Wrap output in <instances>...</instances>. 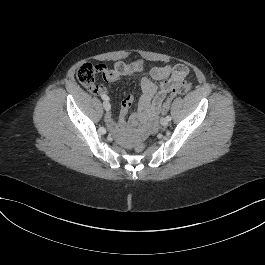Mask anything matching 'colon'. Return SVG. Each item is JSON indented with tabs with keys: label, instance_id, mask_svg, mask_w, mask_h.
Listing matches in <instances>:
<instances>
[{
	"label": "colon",
	"instance_id": "5ec220e1",
	"mask_svg": "<svg viewBox=\"0 0 265 265\" xmlns=\"http://www.w3.org/2000/svg\"><path fill=\"white\" fill-rule=\"evenodd\" d=\"M138 65L141 66L140 63L136 62ZM100 71L99 65H94L91 63H83L77 69V79L80 83L84 86L90 88L94 86L96 74ZM191 88V83L188 81H181L177 84L170 94L167 96L166 100L162 104L161 112L164 113L168 111L172 100L178 96L187 93ZM145 143L142 140H138L134 144V148L136 152L141 153L145 150Z\"/></svg>",
	"mask_w": 265,
	"mask_h": 265
}]
</instances>
